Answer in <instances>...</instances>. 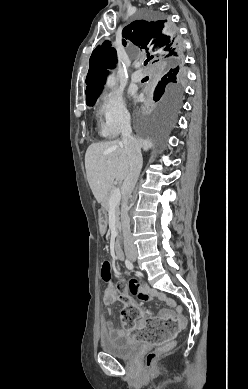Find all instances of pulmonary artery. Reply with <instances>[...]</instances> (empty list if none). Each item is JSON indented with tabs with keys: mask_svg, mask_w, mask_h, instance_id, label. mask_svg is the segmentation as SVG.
I'll return each mask as SVG.
<instances>
[{
	"mask_svg": "<svg viewBox=\"0 0 248 389\" xmlns=\"http://www.w3.org/2000/svg\"><path fill=\"white\" fill-rule=\"evenodd\" d=\"M142 73L140 71H136L131 75V80L133 82H139L142 79Z\"/></svg>",
	"mask_w": 248,
	"mask_h": 389,
	"instance_id": "1",
	"label": "pulmonary artery"
}]
</instances>
